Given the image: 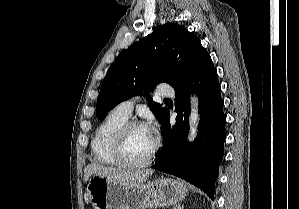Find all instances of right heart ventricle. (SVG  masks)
Listing matches in <instances>:
<instances>
[{
  "mask_svg": "<svg viewBox=\"0 0 299 209\" xmlns=\"http://www.w3.org/2000/svg\"><path fill=\"white\" fill-rule=\"evenodd\" d=\"M127 121L128 117L114 109L98 125L92 140V151L99 163L118 165L113 155V141L118 129Z\"/></svg>",
  "mask_w": 299,
  "mask_h": 209,
  "instance_id": "1",
  "label": "right heart ventricle"
}]
</instances>
